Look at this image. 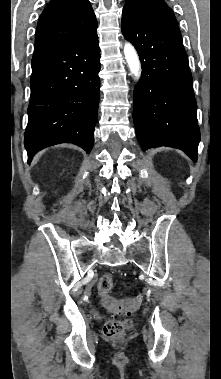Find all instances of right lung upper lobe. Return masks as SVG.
<instances>
[{"label": "right lung upper lobe", "mask_w": 221, "mask_h": 379, "mask_svg": "<svg viewBox=\"0 0 221 379\" xmlns=\"http://www.w3.org/2000/svg\"><path fill=\"white\" fill-rule=\"evenodd\" d=\"M95 25L88 0H51L38 20L33 57L82 38Z\"/></svg>", "instance_id": "1"}]
</instances>
